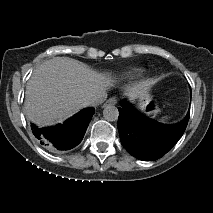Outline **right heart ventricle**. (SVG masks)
Returning <instances> with one entry per match:
<instances>
[{
	"label": "right heart ventricle",
	"instance_id": "e07e8e85",
	"mask_svg": "<svg viewBox=\"0 0 213 213\" xmlns=\"http://www.w3.org/2000/svg\"><path fill=\"white\" fill-rule=\"evenodd\" d=\"M141 72V70L139 69H133L132 71L128 72L129 75H136L139 74Z\"/></svg>",
	"mask_w": 213,
	"mask_h": 213
}]
</instances>
